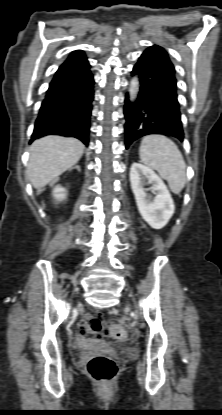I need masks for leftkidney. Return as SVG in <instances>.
<instances>
[{
	"mask_svg": "<svg viewBox=\"0 0 222 415\" xmlns=\"http://www.w3.org/2000/svg\"><path fill=\"white\" fill-rule=\"evenodd\" d=\"M130 182L143 219L154 229L163 228L175 210L173 199L163 180L149 167L134 162L130 169ZM146 182L153 184L149 190L155 193L154 198L146 193Z\"/></svg>",
	"mask_w": 222,
	"mask_h": 415,
	"instance_id": "left-kidney-1",
	"label": "left kidney"
}]
</instances>
